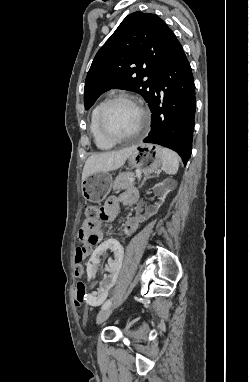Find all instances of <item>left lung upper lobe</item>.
<instances>
[{
	"mask_svg": "<svg viewBox=\"0 0 249 382\" xmlns=\"http://www.w3.org/2000/svg\"><path fill=\"white\" fill-rule=\"evenodd\" d=\"M177 42L173 31L157 15L129 14L92 62L85 81V109L112 88L137 92L148 102Z\"/></svg>",
	"mask_w": 249,
	"mask_h": 382,
	"instance_id": "left-lung-upper-lobe-1",
	"label": "left lung upper lobe"
}]
</instances>
